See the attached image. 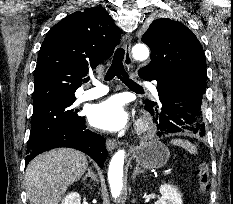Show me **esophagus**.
<instances>
[{"label":"esophagus","instance_id":"34e87169","mask_svg":"<svg viewBox=\"0 0 233 204\" xmlns=\"http://www.w3.org/2000/svg\"><path fill=\"white\" fill-rule=\"evenodd\" d=\"M123 46L125 49V56H124V63L126 67H131L132 65V57H131V36L126 33L123 35ZM117 146V141L115 139H107L106 140V147L109 151L115 149Z\"/></svg>","mask_w":233,"mask_h":204}]
</instances>
